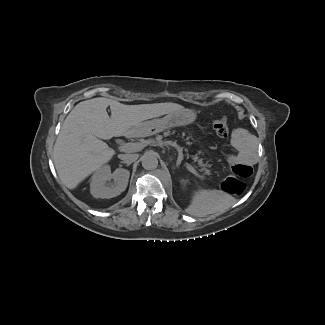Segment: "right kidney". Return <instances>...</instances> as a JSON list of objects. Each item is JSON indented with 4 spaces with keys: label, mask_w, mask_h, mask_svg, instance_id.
<instances>
[{
    "label": "right kidney",
    "mask_w": 325,
    "mask_h": 325,
    "mask_svg": "<svg viewBox=\"0 0 325 325\" xmlns=\"http://www.w3.org/2000/svg\"><path fill=\"white\" fill-rule=\"evenodd\" d=\"M130 172L118 168L113 173L109 165L99 168L92 176L90 192L95 198H113L125 191ZM113 180V182H110Z\"/></svg>",
    "instance_id": "ca27d5eb"
}]
</instances>
